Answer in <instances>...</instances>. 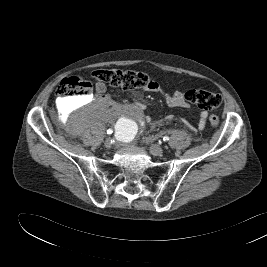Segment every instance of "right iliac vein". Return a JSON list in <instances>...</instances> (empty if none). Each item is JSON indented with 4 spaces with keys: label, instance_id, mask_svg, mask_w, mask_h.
<instances>
[{
    "label": "right iliac vein",
    "instance_id": "right-iliac-vein-1",
    "mask_svg": "<svg viewBox=\"0 0 267 267\" xmlns=\"http://www.w3.org/2000/svg\"><path fill=\"white\" fill-rule=\"evenodd\" d=\"M104 145L106 148H110L111 147V139L110 138H107L104 142Z\"/></svg>",
    "mask_w": 267,
    "mask_h": 267
}]
</instances>
